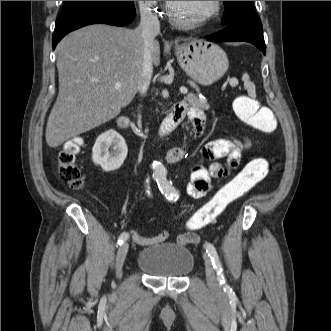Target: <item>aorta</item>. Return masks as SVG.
Returning a JSON list of instances; mask_svg holds the SVG:
<instances>
[{
    "label": "aorta",
    "instance_id": "762f6f07",
    "mask_svg": "<svg viewBox=\"0 0 331 331\" xmlns=\"http://www.w3.org/2000/svg\"><path fill=\"white\" fill-rule=\"evenodd\" d=\"M153 172L155 178H163L166 174V169L160 162H154L153 163Z\"/></svg>",
    "mask_w": 331,
    "mask_h": 331
}]
</instances>
